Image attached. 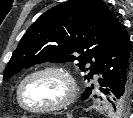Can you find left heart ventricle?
Here are the masks:
<instances>
[{"instance_id":"1","label":"left heart ventricle","mask_w":133,"mask_h":118,"mask_svg":"<svg viewBox=\"0 0 133 118\" xmlns=\"http://www.w3.org/2000/svg\"><path fill=\"white\" fill-rule=\"evenodd\" d=\"M67 93L63 78L56 74L44 73L30 78L22 92L26 106L40 108L60 102Z\"/></svg>"}]
</instances>
